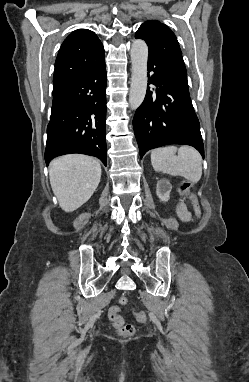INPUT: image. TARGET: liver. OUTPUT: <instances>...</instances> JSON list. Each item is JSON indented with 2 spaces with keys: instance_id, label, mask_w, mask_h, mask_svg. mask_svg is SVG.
I'll use <instances>...</instances> for the list:
<instances>
[{
  "instance_id": "obj_1",
  "label": "liver",
  "mask_w": 249,
  "mask_h": 382,
  "mask_svg": "<svg viewBox=\"0 0 249 382\" xmlns=\"http://www.w3.org/2000/svg\"><path fill=\"white\" fill-rule=\"evenodd\" d=\"M49 177L59 206L65 212H73L95 192L101 179V166L86 155H64L51 161Z\"/></svg>"
}]
</instances>
